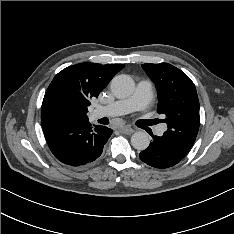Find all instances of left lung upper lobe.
Segmentation results:
<instances>
[{
	"label": "left lung upper lobe",
	"mask_w": 234,
	"mask_h": 234,
	"mask_svg": "<svg viewBox=\"0 0 234 234\" xmlns=\"http://www.w3.org/2000/svg\"><path fill=\"white\" fill-rule=\"evenodd\" d=\"M158 92V112L165 115V132L186 149L196 139L199 125V100L192 80L180 69L167 63L142 64Z\"/></svg>",
	"instance_id": "5c2ea615"
}]
</instances>
